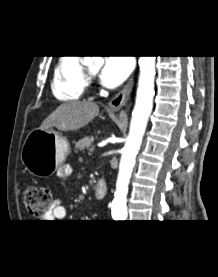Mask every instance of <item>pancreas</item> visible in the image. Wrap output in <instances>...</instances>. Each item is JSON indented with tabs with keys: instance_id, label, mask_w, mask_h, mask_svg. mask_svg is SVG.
Listing matches in <instances>:
<instances>
[{
	"instance_id": "cf45deb5",
	"label": "pancreas",
	"mask_w": 218,
	"mask_h": 277,
	"mask_svg": "<svg viewBox=\"0 0 218 277\" xmlns=\"http://www.w3.org/2000/svg\"><path fill=\"white\" fill-rule=\"evenodd\" d=\"M94 141V138L91 136H87L85 138H82L81 140H79L76 145H75V152H77L78 150H84L85 148H88L92 145V142Z\"/></svg>"
}]
</instances>
